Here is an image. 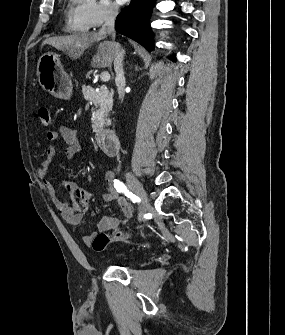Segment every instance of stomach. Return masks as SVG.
<instances>
[{
  "label": "stomach",
  "instance_id": "0dacf381",
  "mask_svg": "<svg viewBox=\"0 0 285 335\" xmlns=\"http://www.w3.org/2000/svg\"><path fill=\"white\" fill-rule=\"evenodd\" d=\"M37 78L41 88L54 98H70L72 94L71 80L64 72L58 54L47 52L39 58Z\"/></svg>",
  "mask_w": 285,
  "mask_h": 335
}]
</instances>
